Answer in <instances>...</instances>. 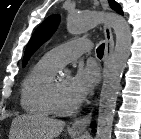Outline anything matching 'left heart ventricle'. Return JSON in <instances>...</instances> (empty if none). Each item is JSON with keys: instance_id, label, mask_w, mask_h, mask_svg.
<instances>
[{"instance_id": "obj_1", "label": "left heart ventricle", "mask_w": 141, "mask_h": 139, "mask_svg": "<svg viewBox=\"0 0 141 139\" xmlns=\"http://www.w3.org/2000/svg\"><path fill=\"white\" fill-rule=\"evenodd\" d=\"M71 80L70 76H60L57 78L59 98L64 106L77 104L71 94Z\"/></svg>"}]
</instances>
